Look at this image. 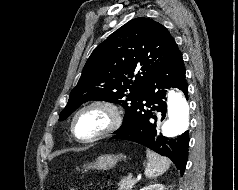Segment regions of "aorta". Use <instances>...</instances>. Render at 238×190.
Listing matches in <instances>:
<instances>
[{
    "label": "aorta",
    "mask_w": 238,
    "mask_h": 190,
    "mask_svg": "<svg viewBox=\"0 0 238 190\" xmlns=\"http://www.w3.org/2000/svg\"><path fill=\"white\" fill-rule=\"evenodd\" d=\"M167 110L168 119L162 126V134L166 137H175L189 126L190 106L182 92L169 91Z\"/></svg>",
    "instance_id": "aorta-1"
}]
</instances>
